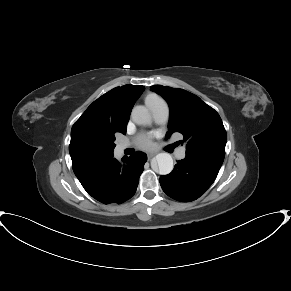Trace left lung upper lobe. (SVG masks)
<instances>
[{
	"label": "left lung upper lobe",
	"mask_w": 291,
	"mask_h": 291,
	"mask_svg": "<svg viewBox=\"0 0 291 291\" xmlns=\"http://www.w3.org/2000/svg\"><path fill=\"white\" fill-rule=\"evenodd\" d=\"M170 106L169 131L183 134L186 153L224 160L226 130L219 114L198 96L182 89L151 86Z\"/></svg>",
	"instance_id": "5c2ea615"
}]
</instances>
